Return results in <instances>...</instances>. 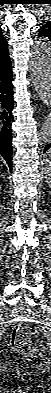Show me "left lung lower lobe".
Listing matches in <instances>:
<instances>
[{
	"mask_svg": "<svg viewBox=\"0 0 51 393\" xmlns=\"http://www.w3.org/2000/svg\"><path fill=\"white\" fill-rule=\"evenodd\" d=\"M49 148H51V143L48 144V145H46V147H45V149H44V152H46Z\"/></svg>",
	"mask_w": 51,
	"mask_h": 393,
	"instance_id": "left-lung-lower-lobe-1",
	"label": "left lung lower lobe"
}]
</instances>
